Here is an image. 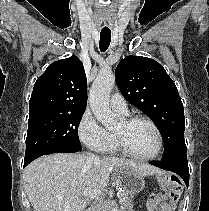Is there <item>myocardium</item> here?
Wrapping results in <instances>:
<instances>
[{
	"instance_id": "myocardium-1",
	"label": "myocardium",
	"mask_w": 209,
	"mask_h": 211,
	"mask_svg": "<svg viewBox=\"0 0 209 211\" xmlns=\"http://www.w3.org/2000/svg\"><path fill=\"white\" fill-rule=\"evenodd\" d=\"M123 121L126 125H132L136 122H145V123L149 124L156 134L157 147H156L155 152L149 156H138V155L132 153L127 148L123 136L120 133L115 131L114 136H115L116 145H117L118 150L125 156L130 157L136 161L149 162V161L155 160L161 154L162 149H163V136H162V133H161L159 127L157 126V124L149 117H146L143 115L130 116V117L125 118Z\"/></svg>"
}]
</instances>
